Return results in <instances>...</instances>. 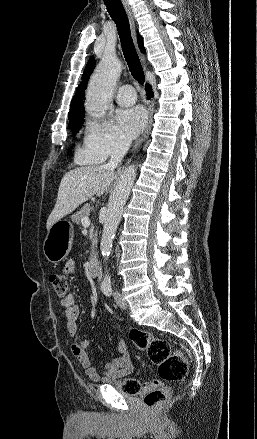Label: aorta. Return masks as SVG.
I'll return each instance as SVG.
<instances>
[{"label":"aorta","instance_id":"1","mask_svg":"<svg viewBox=\"0 0 257 439\" xmlns=\"http://www.w3.org/2000/svg\"><path fill=\"white\" fill-rule=\"evenodd\" d=\"M121 71V62L114 55L105 53L88 86L85 109L89 115L95 118H101L105 115ZM135 178L136 167L130 165L125 168L109 198L100 243V250L104 261L108 260L112 251L113 239L121 221L123 208L130 195ZM102 284H110L109 272L107 270Z\"/></svg>","mask_w":257,"mask_h":439}]
</instances>
